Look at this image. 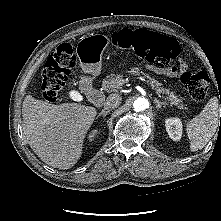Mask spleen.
Here are the masks:
<instances>
[{
    "mask_svg": "<svg viewBox=\"0 0 221 221\" xmlns=\"http://www.w3.org/2000/svg\"><path fill=\"white\" fill-rule=\"evenodd\" d=\"M219 116L221 117V108L218 99L214 97L208 101L200 115L189 121L186 132L191 151L195 152L205 147L219 126Z\"/></svg>",
    "mask_w": 221,
    "mask_h": 221,
    "instance_id": "spleen-1",
    "label": "spleen"
}]
</instances>
